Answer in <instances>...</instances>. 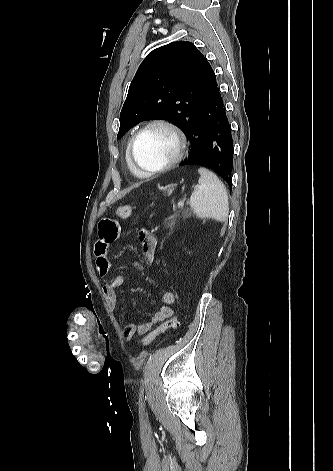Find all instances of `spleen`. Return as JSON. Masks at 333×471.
<instances>
[{
	"mask_svg": "<svg viewBox=\"0 0 333 471\" xmlns=\"http://www.w3.org/2000/svg\"><path fill=\"white\" fill-rule=\"evenodd\" d=\"M200 178L190 197V206L198 218H212L218 222L227 220L229 202L224 184L206 168H199Z\"/></svg>",
	"mask_w": 333,
	"mask_h": 471,
	"instance_id": "3e777b00",
	"label": "spleen"
}]
</instances>
